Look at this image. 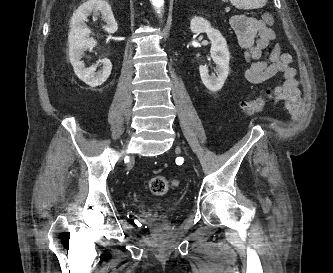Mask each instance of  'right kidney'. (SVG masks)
<instances>
[{"label":"right kidney","instance_id":"right-kidney-1","mask_svg":"<svg viewBox=\"0 0 333 273\" xmlns=\"http://www.w3.org/2000/svg\"><path fill=\"white\" fill-rule=\"evenodd\" d=\"M101 15L102 20L106 23L103 29L112 34L118 29L111 6L107 1L88 0L83 3L73 14L71 18V31L68 35L69 57L76 75L91 87L102 85L110 76L112 63L109 59L99 60L96 65L89 68L85 67L81 61L84 51L96 46V42L90 38L91 30L87 27L86 21L89 15ZM102 64L100 71L96 72L97 66Z\"/></svg>","mask_w":333,"mask_h":273}]
</instances>
